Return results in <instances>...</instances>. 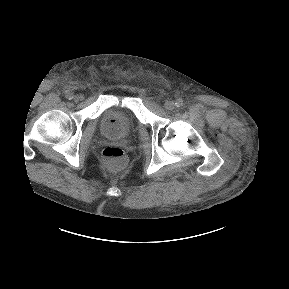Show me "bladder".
I'll use <instances>...</instances> for the list:
<instances>
[{
  "label": "bladder",
  "instance_id": "31cf9c89",
  "mask_svg": "<svg viewBox=\"0 0 289 289\" xmlns=\"http://www.w3.org/2000/svg\"><path fill=\"white\" fill-rule=\"evenodd\" d=\"M137 121L127 109L110 107L100 118V131L110 139H123L130 136L136 129Z\"/></svg>",
  "mask_w": 289,
  "mask_h": 289
}]
</instances>
